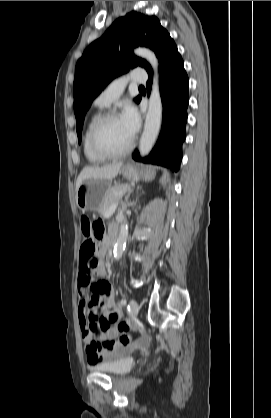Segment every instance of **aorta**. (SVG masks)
Wrapping results in <instances>:
<instances>
[{
	"mask_svg": "<svg viewBox=\"0 0 271 418\" xmlns=\"http://www.w3.org/2000/svg\"><path fill=\"white\" fill-rule=\"evenodd\" d=\"M134 53L146 59L154 70L152 91L149 97L148 112L146 115L144 130L140 138L139 152L141 156H146L151 151L158 136L162 121V100L158 84V59L154 52L147 48H137ZM128 237V224L124 222L120 226L117 242L114 246L113 256L119 260L125 249Z\"/></svg>",
	"mask_w": 271,
	"mask_h": 418,
	"instance_id": "1",
	"label": "aorta"
}]
</instances>
